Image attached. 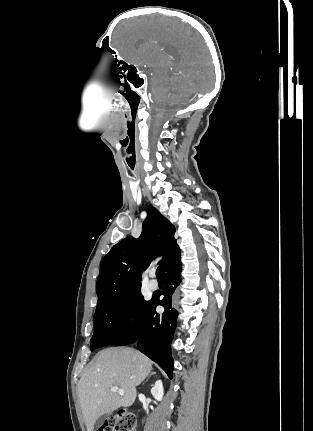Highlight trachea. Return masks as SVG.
<instances>
[{
	"label": "trachea",
	"instance_id": "1",
	"mask_svg": "<svg viewBox=\"0 0 313 431\" xmlns=\"http://www.w3.org/2000/svg\"><path fill=\"white\" fill-rule=\"evenodd\" d=\"M157 279H163V267L159 266L156 270Z\"/></svg>",
	"mask_w": 313,
	"mask_h": 431
}]
</instances>
